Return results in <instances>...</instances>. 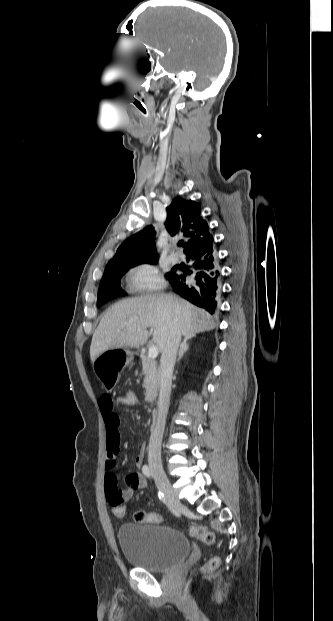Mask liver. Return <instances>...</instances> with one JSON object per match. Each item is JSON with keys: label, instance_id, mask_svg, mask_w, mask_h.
<instances>
[{"label": "liver", "instance_id": "obj_1", "mask_svg": "<svg viewBox=\"0 0 333 621\" xmlns=\"http://www.w3.org/2000/svg\"><path fill=\"white\" fill-rule=\"evenodd\" d=\"M177 324L184 336L213 330L212 316L189 302L170 294H149L121 300L103 316L95 330L90 359L118 348H139L147 342V327L154 328L153 341L163 352L171 327ZM141 328V331H138Z\"/></svg>", "mask_w": 333, "mask_h": 621}]
</instances>
